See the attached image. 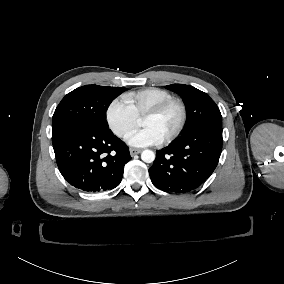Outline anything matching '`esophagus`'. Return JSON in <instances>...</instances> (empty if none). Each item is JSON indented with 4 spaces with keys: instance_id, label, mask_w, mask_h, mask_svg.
Here are the masks:
<instances>
[{
    "instance_id": "esophagus-1",
    "label": "esophagus",
    "mask_w": 284,
    "mask_h": 284,
    "mask_svg": "<svg viewBox=\"0 0 284 284\" xmlns=\"http://www.w3.org/2000/svg\"><path fill=\"white\" fill-rule=\"evenodd\" d=\"M140 152H142V149H138V148H131L130 149V155L133 157L136 154H139Z\"/></svg>"
}]
</instances>
